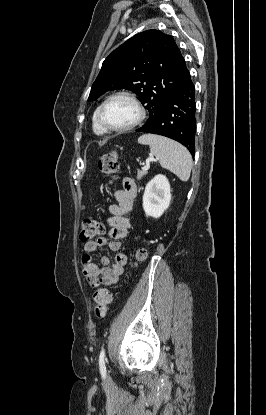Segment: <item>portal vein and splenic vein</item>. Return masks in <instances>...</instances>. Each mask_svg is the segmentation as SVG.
Listing matches in <instances>:
<instances>
[{"label":"portal vein and splenic vein","instance_id":"1","mask_svg":"<svg viewBox=\"0 0 266 415\" xmlns=\"http://www.w3.org/2000/svg\"><path fill=\"white\" fill-rule=\"evenodd\" d=\"M152 160H153V157H152V156L148 158V160H147L148 162H147V163H146V165L142 168V170H143V171H147V170L150 168V164H149V162H150V161H152Z\"/></svg>","mask_w":266,"mask_h":415}]
</instances>
